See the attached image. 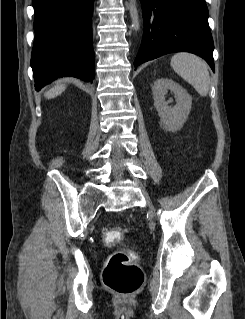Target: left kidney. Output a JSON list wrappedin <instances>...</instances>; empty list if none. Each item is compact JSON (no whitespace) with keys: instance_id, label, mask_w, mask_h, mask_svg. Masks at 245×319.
Returning <instances> with one entry per match:
<instances>
[{"instance_id":"5707ae66","label":"left kidney","mask_w":245,"mask_h":319,"mask_svg":"<svg viewBox=\"0 0 245 319\" xmlns=\"http://www.w3.org/2000/svg\"><path fill=\"white\" fill-rule=\"evenodd\" d=\"M170 90L176 100V105L168 106L165 95ZM154 106L162 120L166 130L176 132L180 130L186 121L191 107L192 97L187 91L172 79L161 78L152 86Z\"/></svg>"}]
</instances>
